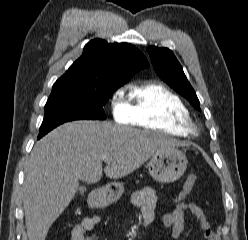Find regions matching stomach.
<instances>
[{"instance_id":"stomach-1","label":"stomach","mask_w":248,"mask_h":240,"mask_svg":"<svg viewBox=\"0 0 248 240\" xmlns=\"http://www.w3.org/2000/svg\"><path fill=\"white\" fill-rule=\"evenodd\" d=\"M187 163L186 155L178 149H173L152 156L148 163V169L150 175L157 182L171 183L183 175ZM123 192L124 186L122 183H110L103 189L100 200L104 203H113L122 196Z\"/></svg>"}]
</instances>
